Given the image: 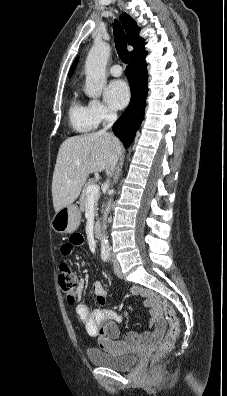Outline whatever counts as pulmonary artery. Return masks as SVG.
Listing matches in <instances>:
<instances>
[{
	"instance_id": "1",
	"label": "pulmonary artery",
	"mask_w": 227,
	"mask_h": 396,
	"mask_svg": "<svg viewBox=\"0 0 227 396\" xmlns=\"http://www.w3.org/2000/svg\"><path fill=\"white\" fill-rule=\"evenodd\" d=\"M109 72L113 76H120L123 71L120 65H113L109 68Z\"/></svg>"
}]
</instances>
